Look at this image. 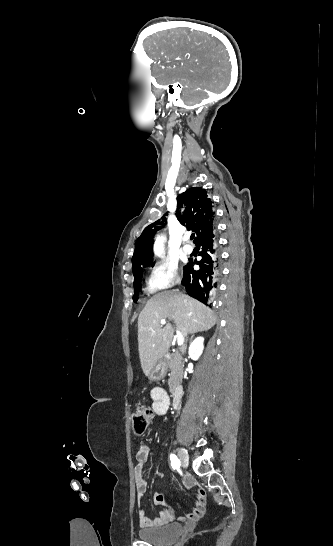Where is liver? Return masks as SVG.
<instances>
[{"label": "liver", "instance_id": "liver-1", "mask_svg": "<svg viewBox=\"0 0 333 546\" xmlns=\"http://www.w3.org/2000/svg\"><path fill=\"white\" fill-rule=\"evenodd\" d=\"M164 318L172 319L183 337L207 331L217 321L211 309L187 295L163 291L151 297L138 317V350L146 376L165 356L174 337L171 324L161 325Z\"/></svg>", "mask_w": 333, "mask_h": 546}]
</instances>
